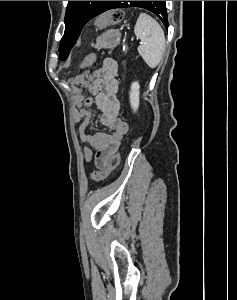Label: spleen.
<instances>
[{"mask_svg":"<svg viewBox=\"0 0 237 300\" xmlns=\"http://www.w3.org/2000/svg\"><path fill=\"white\" fill-rule=\"evenodd\" d=\"M134 33L137 39H140L139 55L150 69H155L159 65L166 47L162 27L150 15L141 13L136 21Z\"/></svg>","mask_w":237,"mask_h":300,"instance_id":"3e777b00","label":"spleen"}]
</instances>
